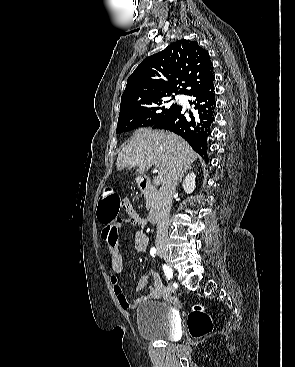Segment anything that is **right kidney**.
<instances>
[{
    "mask_svg": "<svg viewBox=\"0 0 295 367\" xmlns=\"http://www.w3.org/2000/svg\"><path fill=\"white\" fill-rule=\"evenodd\" d=\"M195 178L196 175L192 172L188 174L182 184L184 191L187 194H191L195 189Z\"/></svg>",
    "mask_w": 295,
    "mask_h": 367,
    "instance_id": "obj_1",
    "label": "right kidney"
}]
</instances>
